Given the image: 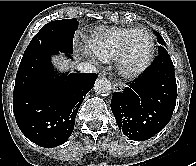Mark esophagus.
<instances>
[{
    "instance_id": "1",
    "label": "esophagus",
    "mask_w": 196,
    "mask_h": 166,
    "mask_svg": "<svg viewBox=\"0 0 196 166\" xmlns=\"http://www.w3.org/2000/svg\"><path fill=\"white\" fill-rule=\"evenodd\" d=\"M113 89L116 92H121L123 90V85L119 82H114L113 83Z\"/></svg>"
}]
</instances>
